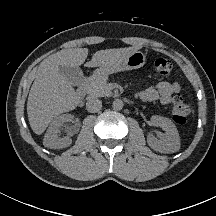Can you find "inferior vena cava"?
Segmentation results:
<instances>
[{
  "instance_id": "obj_1",
  "label": "inferior vena cava",
  "mask_w": 216,
  "mask_h": 216,
  "mask_svg": "<svg viewBox=\"0 0 216 216\" xmlns=\"http://www.w3.org/2000/svg\"><path fill=\"white\" fill-rule=\"evenodd\" d=\"M102 108V101L98 98H90L86 103V109L90 113H96Z\"/></svg>"
}]
</instances>
